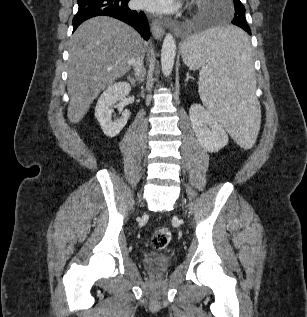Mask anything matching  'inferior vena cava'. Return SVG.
I'll return each mask as SVG.
<instances>
[{
  "label": "inferior vena cava",
  "mask_w": 307,
  "mask_h": 317,
  "mask_svg": "<svg viewBox=\"0 0 307 317\" xmlns=\"http://www.w3.org/2000/svg\"><path fill=\"white\" fill-rule=\"evenodd\" d=\"M142 61H143L142 57L135 58L131 61V65H133L136 75L138 76L142 72V65H143Z\"/></svg>",
  "instance_id": "obj_1"
}]
</instances>
